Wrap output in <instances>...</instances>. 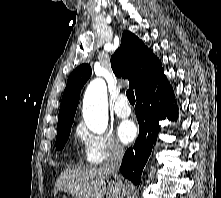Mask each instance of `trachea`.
Here are the masks:
<instances>
[{
	"mask_svg": "<svg viewBox=\"0 0 221 198\" xmlns=\"http://www.w3.org/2000/svg\"><path fill=\"white\" fill-rule=\"evenodd\" d=\"M126 95H127L129 102L131 104H134L135 103V96H134L133 90L132 89L127 90Z\"/></svg>",
	"mask_w": 221,
	"mask_h": 198,
	"instance_id": "obj_1",
	"label": "trachea"
}]
</instances>
